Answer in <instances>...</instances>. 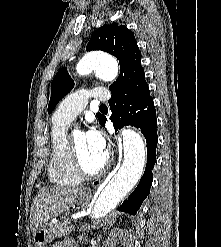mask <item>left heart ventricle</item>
<instances>
[{
    "label": "left heart ventricle",
    "instance_id": "obj_1",
    "mask_svg": "<svg viewBox=\"0 0 221 247\" xmlns=\"http://www.w3.org/2000/svg\"><path fill=\"white\" fill-rule=\"evenodd\" d=\"M73 137L84 168L89 172H94L102 165L105 153L96 151L88 143L85 133L78 131Z\"/></svg>",
    "mask_w": 221,
    "mask_h": 247
}]
</instances>
